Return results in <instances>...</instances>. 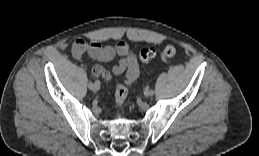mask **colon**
Returning <instances> with one entry per match:
<instances>
[{
  "label": "colon",
  "instance_id": "obj_1",
  "mask_svg": "<svg viewBox=\"0 0 259 156\" xmlns=\"http://www.w3.org/2000/svg\"><path fill=\"white\" fill-rule=\"evenodd\" d=\"M155 50L152 47L143 48L140 51L139 58L143 63L150 62L155 57ZM176 54V48L173 45H166L160 51V56L163 60L174 57ZM128 90L127 85L123 82H119L116 85L115 98L118 106H122L127 98Z\"/></svg>",
  "mask_w": 259,
  "mask_h": 156
}]
</instances>
